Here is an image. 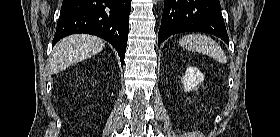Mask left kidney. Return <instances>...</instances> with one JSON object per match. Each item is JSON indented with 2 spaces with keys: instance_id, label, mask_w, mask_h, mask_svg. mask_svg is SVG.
<instances>
[{
  "instance_id": "obj_1",
  "label": "left kidney",
  "mask_w": 280,
  "mask_h": 137,
  "mask_svg": "<svg viewBox=\"0 0 280 137\" xmlns=\"http://www.w3.org/2000/svg\"><path fill=\"white\" fill-rule=\"evenodd\" d=\"M204 81V75L195 67L189 66L186 69L185 75L183 76V86L185 92L196 90L197 86Z\"/></svg>"
}]
</instances>
